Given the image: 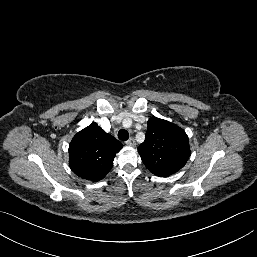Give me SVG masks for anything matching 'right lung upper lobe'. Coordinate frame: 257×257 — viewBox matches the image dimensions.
<instances>
[{
  "instance_id": "1",
  "label": "right lung upper lobe",
  "mask_w": 257,
  "mask_h": 257,
  "mask_svg": "<svg viewBox=\"0 0 257 257\" xmlns=\"http://www.w3.org/2000/svg\"><path fill=\"white\" fill-rule=\"evenodd\" d=\"M123 145L106 133L97 123L78 132L69 145V165L79 177L100 181L113 166V160Z\"/></svg>"
}]
</instances>
